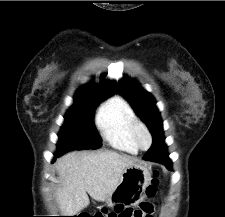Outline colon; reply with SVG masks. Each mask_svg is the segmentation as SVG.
<instances>
[{"label": "colon", "mask_w": 225, "mask_h": 217, "mask_svg": "<svg viewBox=\"0 0 225 217\" xmlns=\"http://www.w3.org/2000/svg\"><path fill=\"white\" fill-rule=\"evenodd\" d=\"M158 183V180L156 176L154 175L148 184L144 187L143 191L141 192V195L143 197H152L155 194L156 191V185ZM115 211L113 210H104L102 212L96 213L94 216L91 217H114ZM79 217H84V216H79Z\"/></svg>", "instance_id": "5ec220e1"}]
</instances>
